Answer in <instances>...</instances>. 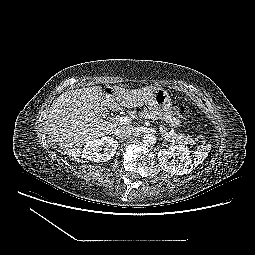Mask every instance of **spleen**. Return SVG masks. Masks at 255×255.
Returning a JSON list of instances; mask_svg holds the SVG:
<instances>
[{
  "label": "spleen",
  "instance_id": "obj_1",
  "mask_svg": "<svg viewBox=\"0 0 255 255\" xmlns=\"http://www.w3.org/2000/svg\"><path fill=\"white\" fill-rule=\"evenodd\" d=\"M211 145L207 144L205 146H201L200 149L198 151H196V158L194 159V163L196 165L200 164L206 157H207V153L210 150Z\"/></svg>",
  "mask_w": 255,
  "mask_h": 255
}]
</instances>
